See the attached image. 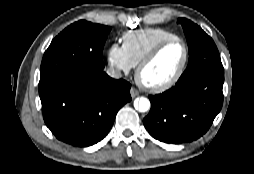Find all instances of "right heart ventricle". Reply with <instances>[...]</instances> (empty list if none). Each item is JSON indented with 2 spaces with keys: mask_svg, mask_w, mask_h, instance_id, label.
<instances>
[{
  "mask_svg": "<svg viewBox=\"0 0 254 174\" xmlns=\"http://www.w3.org/2000/svg\"><path fill=\"white\" fill-rule=\"evenodd\" d=\"M177 37L175 33L164 28H143L129 30L122 34V46L133 66L159 42Z\"/></svg>",
  "mask_w": 254,
  "mask_h": 174,
  "instance_id": "1",
  "label": "right heart ventricle"
}]
</instances>
